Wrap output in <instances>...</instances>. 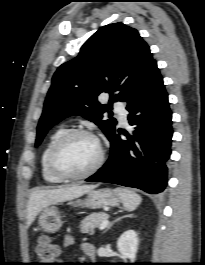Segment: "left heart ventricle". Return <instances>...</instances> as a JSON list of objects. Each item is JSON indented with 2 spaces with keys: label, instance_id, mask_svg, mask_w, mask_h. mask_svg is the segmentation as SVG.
<instances>
[{
  "label": "left heart ventricle",
  "instance_id": "obj_1",
  "mask_svg": "<svg viewBox=\"0 0 205 265\" xmlns=\"http://www.w3.org/2000/svg\"><path fill=\"white\" fill-rule=\"evenodd\" d=\"M99 156V146L87 136H76L66 142L56 155L57 167L68 174H80L91 168Z\"/></svg>",
  "mask_w": 205,
  "mask_h": 265
}]
</instances>
